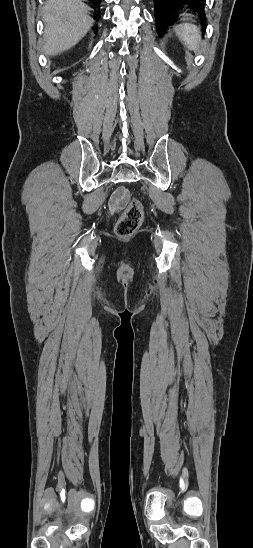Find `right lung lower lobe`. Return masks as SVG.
<instances>
[{
  "label": "right lung lower lobe",
  "mask_w": 253,
  "mask_h": 548,
  "mask_svg": "<svg viewBox=\"0 0 253 548\" xmlns=\"http://www.w3.org/2000/svg\"><path fill=\"white\" fill-rule=\"evenodd\" d=\"M94 5L99 6L101 0H90Z\"/></svg>",
  "instance_id": "obj_1"
}]
</instances>
